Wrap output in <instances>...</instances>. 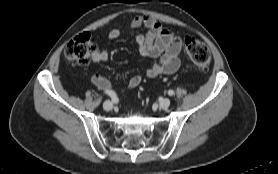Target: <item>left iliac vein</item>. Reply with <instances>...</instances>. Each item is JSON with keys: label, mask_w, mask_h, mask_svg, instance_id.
I'll return each mask as SVG.
<instances>
[{"label": "left iliac vein", "mask_w": 278, "mask_h": 174, "mask_svg": "<svg viewBox=\"0 0 278 174\" xmlns=\"http://www.w3.org/2000/svg\"><path fill=\"white\" fill-rule=\"evenodd\" d=\"M160 108L167 109L170 106V100L168 98L163 99L160 104Z\"/></svg>", "instance_id": "obj_1"}]
</instances>
